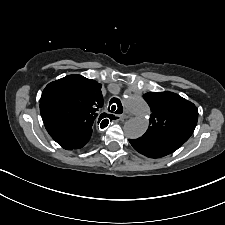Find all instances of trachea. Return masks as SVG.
Instances as JSON below:
<instances>
[{
    "instance_id": "trachea-1",
    "label": "trachea",
    "mask_w": 225,
    "mask_h": 225,
    "mask_svg": "<svg viewBox=\"0 0 225 225\" xmlns=\"http://www.w3.org/2000/svg\"><path fill=\"white\" fill-rule=\"evenodd\" d=\"M110 105L112 106L111 108L108 107L109 112L115 113V114H121L123 112V107L119 99L112 98L110 100Z\"/></svg>"
}]
</instances>
